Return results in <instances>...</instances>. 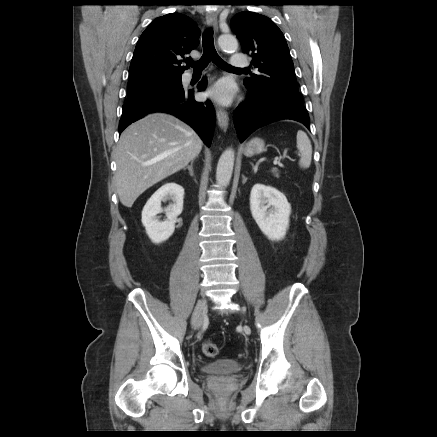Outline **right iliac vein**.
<instances>
[{
    "instance_id": "63e3f726",
    "label": "right iliac vein",
    "mask_w": 437,
    "mask_h": 437,
    "mask_svg": "<svg viewBox=\"0 0 437 437\" xmlns=\"http://www.w3.org/2000/svg\"><path fill=\"white\" fill-rule=\"evenodd\" d=\"M206 308H207L206 299L205 298L200 299L197 302V305L192 315L191 324L194 329H198L201 326L206 313Z\"/></svg>"
}]
</instances>
